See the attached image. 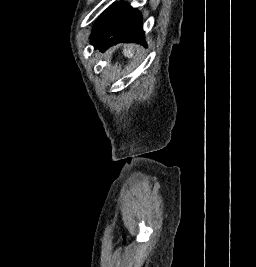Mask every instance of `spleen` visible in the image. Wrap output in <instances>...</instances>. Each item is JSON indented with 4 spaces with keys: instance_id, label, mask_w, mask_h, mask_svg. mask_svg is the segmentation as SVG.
Segmentation results:
<instances>
[{
    "instance_id": "obj_1",
    "label": "spleen",
    "mask_w": 256,
    "mask_h": 267,
    "mask_svg": "<svg viewBox=\"0 0 256 267\" xmlns=\"http://www.w3.org/2000/svg\"><path fill=\"white\" fill-rule=\"evenodd\" d=\"M124 56H126V58H133V50L127 48V50H124Z\"/></svg>"
}]
</instances>
